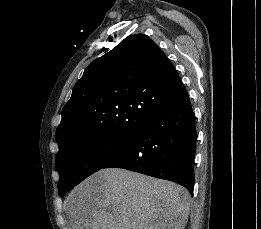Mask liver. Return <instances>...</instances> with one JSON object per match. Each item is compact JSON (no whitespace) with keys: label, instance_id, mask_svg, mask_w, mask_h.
I'll return each mask as SVG.
<instances>
[{"label":"liver","instance_id":"6515ba94","mask_svg":"<svg viewBox=\"0 0 261 229\" xmlns=\"http://www.w3.org/2000/svg\"><path fill=\"white\" fill-rule=\"evenodd\" d=\"M190 203L171 181L101 169L69 193L65 209L71 229H184Z\"/></svg>","mask_w":261,"mask_h":229}]
</instances>
